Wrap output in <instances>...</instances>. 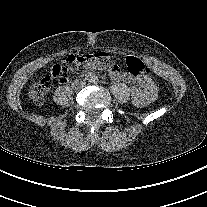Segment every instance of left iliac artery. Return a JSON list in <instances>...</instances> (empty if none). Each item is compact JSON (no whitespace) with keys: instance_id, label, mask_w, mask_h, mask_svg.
<instances>
[{"instance_id":"44dca946","label":"left iliac artery","mask_w":207,"mask_h":207,"mask_svg":"<svg viewBox=\"0 0 207 207\" xmlns=\"http://www.w3.org/2000/svg\"><path fill=\"white\" fill-rule=\"evenodd\" d=\"M98 81H99L98 80V77L97 76H94L92 82L97 83Z\"/></svg>"}]
</instances>
